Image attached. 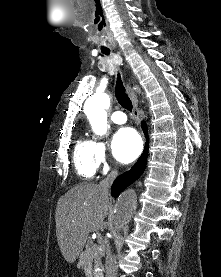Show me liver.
I'll return each mask as SVG.
<instances>
[{"label": "liver", "instance_id": "liver-1", "mask_svg": "<svg viewBox=\"0 0 221 277\" xmlns=\"http://www.w3.org/2000/svg\"><path fill=\"white\" fill-rule=\"evenodd\" d=\"M109 207V194L97 184H79L60 197L55 214L56 236L67 262H75L89 233L103 226Z\"/></svg>", "mask_w": 221, "mask_h": 277}]
</instances>
